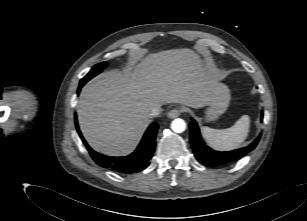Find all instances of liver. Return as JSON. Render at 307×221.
Segmentation results:
<instances>
[{
    "instance_id": "obj_1",
    "label": "liver",
    "mask_w": 307,
    "mask_h": 221,
    "mask_svg": "<svg viewBox=\"0 0 307 221\" xmlns=\"http://www.w3.org/2000/svg\"><path fill=\"white\" fill-rule=\"evenodd\" d=\"M218 86L190 49L149 54L134 68L102 73L83 87L79 126L94 150L127 155L149 126L153 107L179 103L201 108L214 99Z\"/></svg>"
}]
</instances>
